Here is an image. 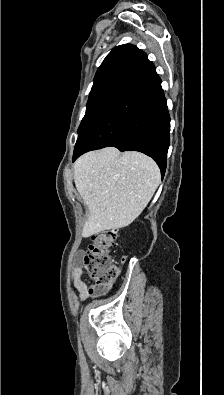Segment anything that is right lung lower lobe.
Returning a JSON list of instances; mask_svg holds the SVG:
<instances>
[{"mask_svg":"<svg viewBox=\"0 0 224 395\" xmlns=\"http://www.w3.org/2000/svg\"><path fill=\"white\" fill-rule=\"evenodd\" d=\"M170 117L161 80L139 50L119 70L112 87L78 136L73 161L81 154L114 146L152 157L162 177L170 144Z\"/></svg>","mask_w":224,"mask_h":395,"instance_id":"98d812e1","label":"right lung lower lobe"}]
</instances>
